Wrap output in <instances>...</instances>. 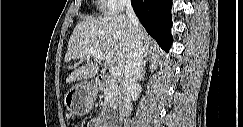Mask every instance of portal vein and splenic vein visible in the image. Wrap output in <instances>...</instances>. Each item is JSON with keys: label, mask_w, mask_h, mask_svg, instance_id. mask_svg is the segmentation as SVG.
<instances>
[{"label": "portal vein and splenic vein", "mask_w": 243, "mask_h": 127, "mask_svg": "<svg viewBox=\"0 0 243 127\" xmlns=\"http://www.w3.org/2000/svg\"><path fill=\"white\" fill-rule=\"evenodd\" d=\"M88 55L94 56L97 59L104 61L106 59L105 54H103L101 51L99 50H94V49H90L87 51ZM111 76L113 77H118L121 75V70L119 67L117 66H111L110 70H109Z\"/></svg>", "instance_id": "1"}]
</instances>
